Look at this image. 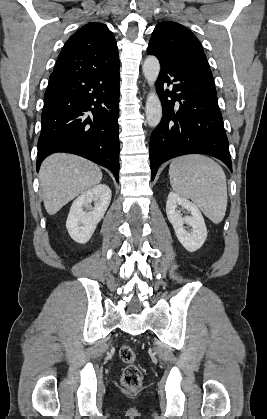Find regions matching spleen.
I'll use <instances>...</instances> for the list:
<instances>
[{
    "instance_id": "3e777b00",
    "label": "spleen",
    "mask_w": 267,
    "mask_h": 419,
    "mask_svg": "<svg viewBox=\"0 0 267 419\" xmlns=\"http://www.w3.org/2000/svg\"><path fill=\"white\" fill-rule=\"evenodd\" d=\"M173 191L191 199L213 223H220L227 209V184L222 167L211 158L191 154L174 159L169 168Z\"/></svg>"
}]
</instances>
